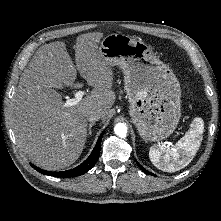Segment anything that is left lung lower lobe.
Here are the masks:
<instances>
[{
    "mask_svg": "<svg viewBox=\"0 0 221 221\" xmlns=\"http://www.w3.org/2000/svg\"><path fill=\"white\" fill-rule=\"evenodd\" d=\"M137 164H138V163H137ZM138 166H140V164H138ZM140 168H141V170L144 171L145 173H148V174H150V175H154V174L149 173L148 171H146L143 167L140 166Z\"/></svg>",
    "mask_w": 221,
    "mask_h": 221,
    "instance_id": "1",
    "label": "left lung lower lobe"
}]
</instances>
